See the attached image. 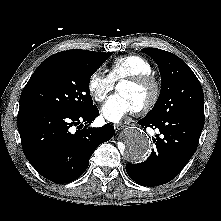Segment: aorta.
<instances>
[{
	"mask_svg": "<svg viewBox=\"0 0 221 221\" xmlns=\"http://www.w3.org/2000/svg\"><path fill=\"white\" fill-rule=\"evenodd\" d=\"M122 154L131 162L140 163L146 160L150 153V138L138 128H130L123 138Z\"/></svg>",
	"mask_w": 221,
	"mask_h": 221,
	"instance_id": "obj_1",
	"label": "aorta"
}]
</instances>
